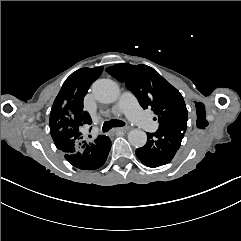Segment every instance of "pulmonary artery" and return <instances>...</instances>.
Listing matches in <instances>:
<instances>
[{"instance_id":"e3ab8cb5","label":"pulmonary artery","mask_w":241,"mask_h":241,"mask_svg":"<svg viewBox=\"0 0 241 241\" xmlns=\"http://www.w3.org/2000/svg\"><path fill=\"white\" fill-rule=\"evenodd\" d=\"M119 106L130 120L139 123L148 134H155L158 131V124L147 115V110L138 103V99L132 93H123Z\"/></svg>"}]
</instances>
